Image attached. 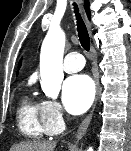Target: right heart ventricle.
I'll list each match as a JSON object with an SVG mask.
<instances>
[{
    "instance_id": "1",
    "label": "right heart ventricle",
    "mask_w": 131,
    "mask_h": 151,
    "mask_svg": "<svg viewBox=\"0 0 131 151\" xmlns=\"http://www.w3.org/2000/svg\"><path fill=\"white\" fill-rule=\"evenodd\" d=\"M20 131L30 138H42L49 135L43 119V105L29 96H24L18 109Z\"/></svg>"
}]
</instances>
